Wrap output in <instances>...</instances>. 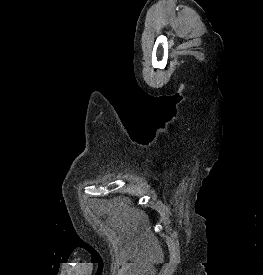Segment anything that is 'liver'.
Instances as JSON below:
<instances>
[{
	"instance_id": "liver-1",
	"label": "liver",
	"mask_w": 263,
	"mask_h": 275,
	"mask_svg": "<svg viewBox=\"0 0 263 275\" xmlns=\"http://www.w3.org/2000/svg\"><path fill=\"white\" fill-rule=\"evenodd\" d=\"M102 203H105L107 207L111 211H113L117 226L123 225L124 227L125 224L126 225H130V223L135 224L145 217L143 212H140L135 208H130L127 205V200L121 199V197L114 198L113 201L102 202Z\"/></svg>"
}]
</instances>
